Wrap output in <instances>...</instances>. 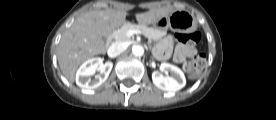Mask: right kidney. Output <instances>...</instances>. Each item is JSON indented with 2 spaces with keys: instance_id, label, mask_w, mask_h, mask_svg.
<instances>
[{
  "instance_id": "1",
  "label": "right kidney",
  "mask_w": 276,
  "mask_h": 120,
  "mask_svg": "<svg viewBox=\"0 0 276 120\" xmlns=\"http://www.w3.org/2000/svg\"><path fill=\"white\" fill-rule=\"evenodd\" d=\"M112 67V62H106L103 64L101 58L95 57L88 59L79 67L76 73V84L82 89H95L107 80ZM96 70H99L100 74L94 79H91L90 77L96 72Z\"/></svg>"
}]
</instances>
